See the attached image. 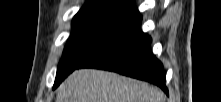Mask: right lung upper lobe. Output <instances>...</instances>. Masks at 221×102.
I'll list each match as a JSON object with an SVG mask.
<instances>
[{"label": "right lung upper lobe", "mask_w": 221, "mask_h": 102, "mask_svg": "<svg viewBox=\"0 0 221 102\" xmlns=\"http://www.w3.org/2000/svg\"><path fill=\"white\" fill-rule=\"evenodd\" d=\"M97 3H105L115 7H124L137 10L131 0H90L83 7Z\"/></svg>", "instance_id": "1"}]
</instances>
